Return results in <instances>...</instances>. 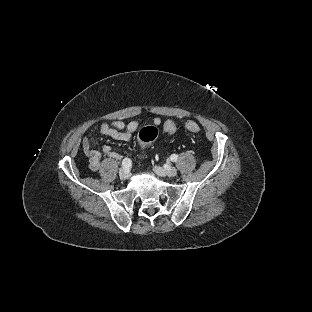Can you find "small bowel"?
<instances>
[{
  "label": "small bowel",
  "instance_id": "1",
  "mask_svg": "<svg viewBox=\"0 0 312 312\" xmlns=\"http://www.w3.org/2000/svg\"><path fill=\"white\" fill-rule=\"evenodd\" d=\"M153 123L157 126L161 125L162 121L159 117L154 118ZM165 121L163 122V125ZM139 123L138 121H130L125 123L122 120H116L109 123H102L99 127V132L103 136L110 137L118 141H127L129 140L138 130ZM81 147L84 154L89 160V166L92 171H98L100 168V162L102 156H108L114 159H120L121 156L117 153L111 146L105 145L102 147L101 151L95 150L91 147L90 141L88 138L84 137L81 141Z\"/></svg>",
  "mask_w": 312,
  "mask_h": 312
}]
</instances>
